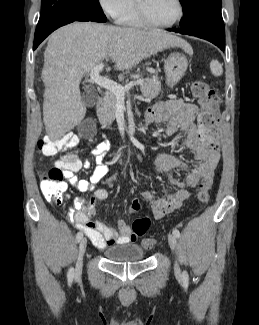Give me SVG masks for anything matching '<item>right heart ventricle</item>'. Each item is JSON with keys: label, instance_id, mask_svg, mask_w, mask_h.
I'll use <instances>...</instances> for the list:
<instances>
[{"label": "right heart ventricle", "instance_id": "e07e8e85", "mask_svg": "<svg viewBox=\"0 0 259 325\" xmlns=\"http://www.w3.org/2000/svg\"><path fill=\"white\" fill-rule=\"evenodd\" d=\"M118 21L122 25L130 27H140L143 25L137 13L135 0H133L131 7L118 19Z\"/></svg>", "mask_w": 259, "mask_h": 325}]
</instances>
